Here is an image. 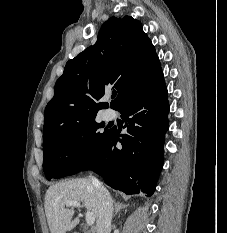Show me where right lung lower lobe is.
Listing matches in <instances>:
<instances>
[{
    "mask_svg": "<svg viewBox=\"0 0 227 233\" xmlns=\"http://www.w3.org/2000/svg\"><path fill=\"white\" fill-rule=\"evenodd\" d=\"M127 133L115 128L91 163L83 170H92L107 185L126 194L155 191L163 166L164 136L169 128L167 88L164 79L126 103L119 110ZM120 142L122 148H117Z\"/></svg>",
    "mask_w": 227,
    "mask_h": 233,
    "instance_id": "98d812e1",
    "label": "right lung lower lobe"
}]
</instances>
